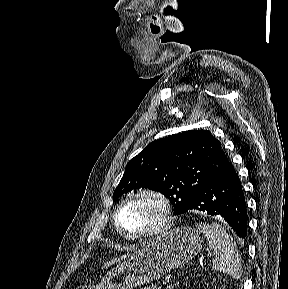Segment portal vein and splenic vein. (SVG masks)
<instances>
[{"mask_svg": "<svg viewBox=\"0 0 288 289\" xmlns=\"http://www.w3.org/2000/svg\"><path fill=\"white\" fill-rule=\"evenodd\" d=\"M164 286H168L169 285V280H165V281H163V283H162Z\"/></svg>", "mask_w": 288, "mask_h": 289, "instance_id": "portal-vein-and-splenic-vein-1", "label": "portal vein and splenic vein"}]
</instances>
